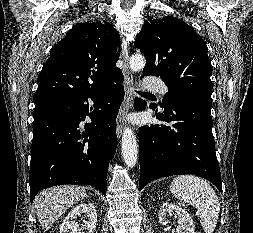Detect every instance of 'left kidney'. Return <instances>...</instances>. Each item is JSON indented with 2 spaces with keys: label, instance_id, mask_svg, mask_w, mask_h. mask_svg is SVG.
<instances>
[{
  "label": "left kidney",
  "instance_id": "left-kidney-1",
  "mask_svg": "<svg viewBox=\"0 0 253 233\" xmlns=\"http://www.w3.org/2000/svg\"><path fill=\"white\" fill-rule=\"evenodd\" d=\"M174 215L178 219V227L172 233H195V226L190 214L183 208L173 203H163L159 210V223L166 226L169 216Z\"/></svg>",
  "mask_w": 253,
  "mask_h": 233
}]
</instances>
